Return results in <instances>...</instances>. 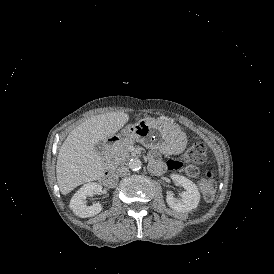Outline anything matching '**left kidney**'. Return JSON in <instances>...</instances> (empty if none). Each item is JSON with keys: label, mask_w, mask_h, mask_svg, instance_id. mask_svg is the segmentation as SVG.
Here are the masks:
<instances>
[{"label": "left kidney", "mask_w": 274, "mask_h": 274, "mask_svg": "<svg viewBox=\"0 0 274 274\" xmlns=\"http://www.w3.org/2000/svg\"><path fill=\"white\" fill-rule=\"evenodd\" d=\"M169 177L185 188V192L181 194V199H176L170 190H166V199L169 206L179 212H188L195 208L200 200V193L195 183L186 176L177 173H171Z\"/></svg>", "instance_id": "5707ae66"}]
</instances>
